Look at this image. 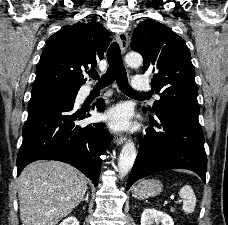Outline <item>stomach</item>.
<instances>
[{
	"label": "stomach",
	"instance_id": "0dacf381",
	"mask_svg": "<svg viewBox=\"0 0 228 225\" xmlns=\"http://www.w3.org/2000/svg\"><path fill=\"white\" fill-rule=\"evenodd\" d=\"M162 191V183L150 179V181H140L139 185H136L133 195L136 199H149V197H157Z\"/></svg>",
	"mask_w": 228,
	"mask_h": 225
}]
</instances>
